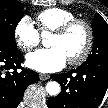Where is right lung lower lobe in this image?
I'll use <instances>...</instances> for the list:
<instances>
[{
  "instance_id": "1",
  "label": "right lung lower lobe",
  "mask_w": 108,
  "mask_h": 108,
  "mask_svg": "<svg viewBox=\"0 0 108 108\" xmlns=\"http://www.w3.org/2000/svg\"><path fill=\"white\" fill-rule=\"evenodd\" d=\"M23 61L17 48L0 45V108H17L25 89L39 80L38 73L21 66Z\"/></svg>"
}]
</instances>
